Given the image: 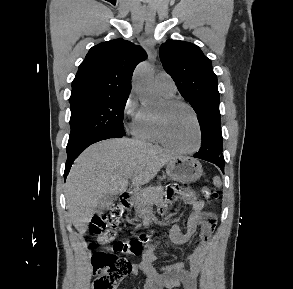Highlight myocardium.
<instances>
[{"label": "myocardium", "mask_w": 293, "mask_h": 289, "mask_svg": "<svg viewBox=\"0 0 293 289\" xmlns=\"http://www.w3.org/2000/svg\"><path fill=\"white\" fill-rule=\"evenodd\" d=\"M163 104L167 108H173L176 106H184L191 112L196 124L197 141H196V144L190 149H180L175 147L173 144L169 142V140L167 139L165 135L162 117L158 115L157 113H154V128H155V134L157 136L158 141L166 148L179 154L190 155V154H194L198 152L202 146L203 134H202L200 120L195 109L189 103L180 99H176V98H167L163 101Z\"/></svg>", "instance_id": "myocardium-1"}]
</instances>
